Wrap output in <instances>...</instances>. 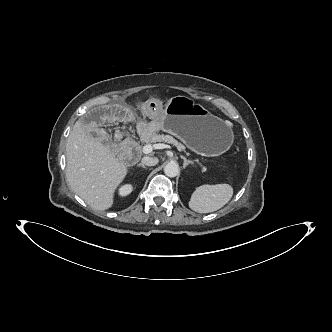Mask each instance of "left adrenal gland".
I'll return each mask as SVG.
<instances>
[{"mask_svg": "<svg viewBox=\"0 0 332 332\" xmlns=\"http://www.w3.org/2000/svg\"><path fill=\"white\" fill-rule=\"evenodd\" d=\"M181 158L184 160L183 168L185 169L189 164H192L193 162L191 160H188L185 156H181Z\"/></svg>", "mask_w": 332, "mask_h": 332, "instance_id": "a2214340", "label": "left adrenal gland"}]
</instances>
